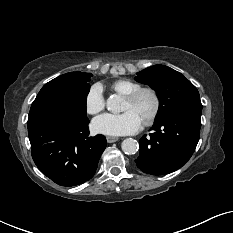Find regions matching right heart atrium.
<instances>
[{
	"label": "right heart atrium",
	"instance_id": "right-heart-atrium-1",
	"mask_svg": "<svg viewBox=\"0 0 233 233\" xmlns=\"http://www.w3.org/2000/svg\"><path fill=\"white\" fill-rule=\"evenodd\" d=\"M85 107L89 114H97L105 108V98L100 84H94L88 90Z\"/></svg>",
	"mask_w": 233,
	"mask_h": 233
}]
</instances>
